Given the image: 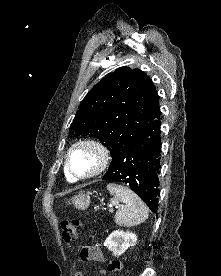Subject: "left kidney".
<instances>
[{"mask_svg": "<svg viewBox=\"0 0 221 276\" xmlns=\"http://www.w3.org/2000/svg\"><path fill=\"white\" fill-rule=\"evenodd\" d=\"M136 241L137 236L134 233L116 230L106 238L104 246L112 251L113 256L118 257L130 246H134Z\"/></svg>", "mask_w": 221, "mask_h": 276, "instance_id": "1", "label": "left kidney"}]
</instances>
